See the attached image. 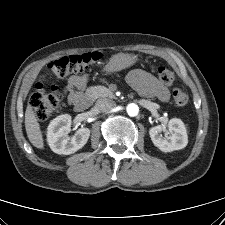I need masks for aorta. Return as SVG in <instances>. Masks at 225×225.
Returning <instances> with one entry per match:
<instances>
[{"label": "aorta", "mask_w": 225, "mask_h": 225, "mask_svg": "<svg viewBox=\"0 0 225 225\" xmlns=\"http://www.w3.org/2000/svg\"><path fill=\"white\" fill-rule=\"evenodd\" d=\"M126 110L129 116L134 117L138 114L139 107L135 103H130L127 105Z\"/></svg>", "instance_id": "762f6f07"}]
</instances>
